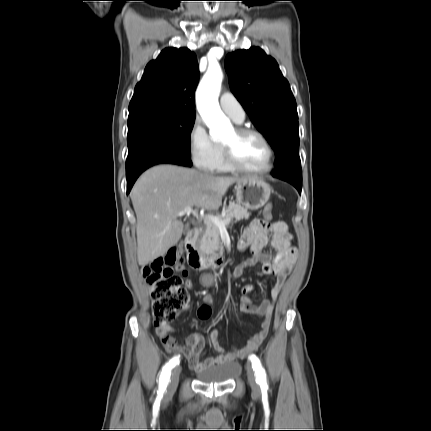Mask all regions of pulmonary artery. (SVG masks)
Listing matches in <instances>:
<instances>
[{"label":"pulmonary artery","mask_w":431,"mask_h":431,"mask_svg":"<svg viewBox=\"0 0 431 431\" xmlns=\"http://www.w3.org/2000/svg\"><path fill=\"white\" fill-rule=\"evenodd\" d=\"M220 107L229 115L236 123H242L245 119V111L236 97L229 92H225L220 96Z\"/></svg>","instance_id":"obj_1"}]
</instances>
